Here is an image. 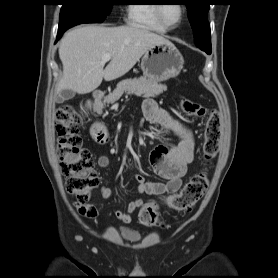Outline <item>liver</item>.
Returning <instances> with one entry per match:
<instances>
[{
  "mask_svg": "<svg viewBox=\"0 0 278 278\" xmlns=\"http://www.w3.org/2000/svg\"><path fill=\"white\" fill-rule=\"evenodd\" d=\"M164 37L137 26L103 27L88 25L68 32L59 46L63 77L56 94L69 89L87 94L125 75L147 49L157 44H170ZM111 54L105 67L102 57Z\"/></svg>",
  "mask_w": 278,
  "mask_h": 278,
  "instance_id": "obj_1",
  "label": "liver"
}]
</instances>
